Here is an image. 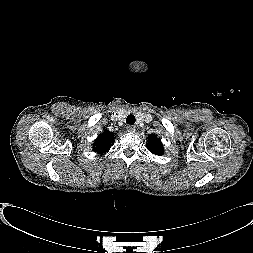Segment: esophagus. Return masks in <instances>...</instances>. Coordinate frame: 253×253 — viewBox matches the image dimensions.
<instances>
[{"label": "esophagus", "instance_id": "obj_1", "mask_svg": "<svg viewBox=\"0 0 253 253\" xmlns=\"http://www.w3.org/2000/svg\"><path fill=\"white\" fill-rule=\"evenodd\" d=\"M126 129L128 132H135V126H133V125H127Z\"/></svg>", "mask_w": 253, "mask_h": 253}]
</instances>
